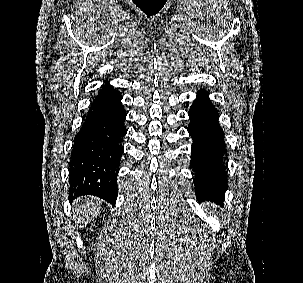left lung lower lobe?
Instances as JSON below:
<instances>
[{
	"label": "left lung lower lobe",
	"mask_w": 303,
	"mask_h": 283,
	"mask_svg": "<svg viewBox=\"0 0 303 283\" xmlns=\"http://www.w3.org/2000/svg\"><path fill=\"white\" fill-rule=\"evenodd\" d=\"M188 115V132L193 139L191 167L196 172L197 198L222 203L227 188L226 167L222 162L226 149L217 110L206 91L198 92Z\"/></svg>",
	"instance_id": "obj_1"
}]
</instances>
